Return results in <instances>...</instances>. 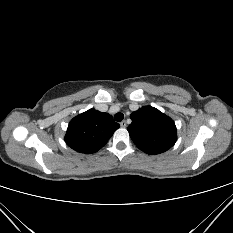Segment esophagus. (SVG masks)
I'll list each match as a JSON object with an SVG mask.
<instances>
[{
  "label": "esophagus",
  "instance_id": "obj_1",
  "mask_svg": "<svg viewBox=\"0 0 233 233\" xmlns=\"http://www.w3.org/2000/svg\"><path fill=\"white\" fill-rule=\"evenodd\" d=\"M126 125H127V123H126L125 120H123V121L120 122V126H121L122 128H125Z\"/></svg>",
  "mask_w": 233,
  "mask_h": 233
}]
</instances>
